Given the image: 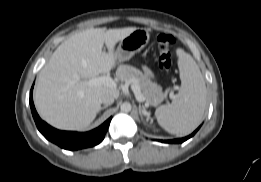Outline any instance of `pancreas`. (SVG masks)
Segmentation results:
<instances>
[{
	"label": "pancreas",
	"mask_w": 261,
	"mask_h": 182,
	"mask_svg": "<svg viewBox=\"0 0 261 182\" xmlns=\"http://www.w3.org/2000/svg\"><path fill=\"white\" fill-rule=\"evenodd\" d=\"M117 77L126 84L137 82L146 102L152 106H157L163 99L162 88L139 69L130 65H121L117 70Z\"/></svg>",
	"instance_id": "obj_1"
}]
</instances>
